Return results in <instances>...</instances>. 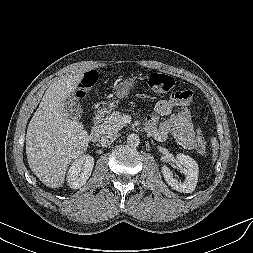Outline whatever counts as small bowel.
<instances>
[{
    "label": "small bowel",
    "instance_id": "obj_1",
    "mask_svg": "<svg viewBox=\"0 0 253 253\" xmlns=\"http://www.w3.org/2000/svg\"><path fill=\"white\" fill-rule=\"evenodd\" d=\"M175 106H181L172 113ZM161 117H166L160 120ZM145 128L158 141H164L171 134L175 140L188 149H196V131L194 129L187 103L174 97L158 101L154 114L148 116Z\"/></svg>",
    "mask_w": 253,
    "mask_h": 253
}]
</instances>
